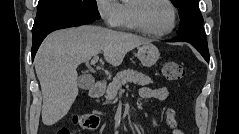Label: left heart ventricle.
<instances>
[{
    "label": "left heart ventricle",
    "instance_id": "left-heart-ventricle-1",
    "mask_svg": "<svg viewBox=\"0 0 239 134\" xmlns=\"http://www.w3.org/2000/svg\"><path fill=\"white\" fill-rule=\"evenodd\" d=\"M143 19L149 29L163 31L171 25L172 14L164 2L152 0L143 10Z\"/></svg>",
    "mask_w": 239,
    "mask_h": 134
}]
</instances>
